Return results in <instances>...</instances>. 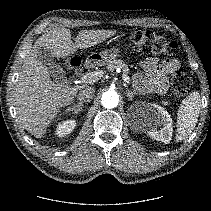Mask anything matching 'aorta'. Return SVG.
<instances>
[{
    "mask_svg": "<svg viewBox=\"0 0 211 211\" xmlns=\"http://www.w3.org/2000/svg\"><path fill=\"white\" fill-rule=\"evenodd\" d=\"M119 103V95L115 91H106L102 94L101 104L103 107L112 109Z\"/></svg>",
    "mask_w": 211,
    "mask_h": 211,
    "instance_id": "obj_1",
    "label": "aorta"
}]
</instances>
